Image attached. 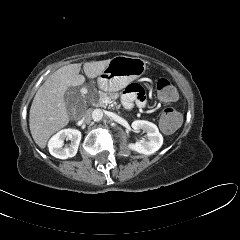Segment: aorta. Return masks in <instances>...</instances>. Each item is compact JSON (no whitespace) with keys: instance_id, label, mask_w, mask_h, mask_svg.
I'll list each match as a JSON object with an SVG mask.
<instances>
[{"instance_id":"1","label":"aorta","mask_w":240,"mask_h":240,"mask_svg":"<svg viewBox=\"0 0 240 240\" xmlns=\"http://www.w3.org/2000/svg\"><path fill=\"white\" fill-rule=\"evenodd\" d=\"M92 118L94 121H100L103 118V112L101 109H94L92 112Z\"/></svg>"}]
</instances>
